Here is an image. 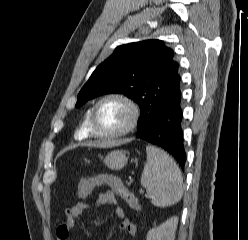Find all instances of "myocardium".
<instances>
[{"label":"myocardium","mask_w":248,"mask_h":240,"mask_svg":"<svg viewBox=\"0 0 248 240\" xmlns=\"http://www.w3.org/2000/svg\"><path fill=\"white\" fill-rule=\"evenodd\" d=\"M108 101H117L122 103L129 112V120L127 124L120 130L113 133H100L96 129L95 119L98 108L105 102ZM140 116V111L137 103L128 95L123 93H108L102 96L92 107L90 120H89V128L90 134L94 137L102 138V139H113L123 135H126L133 131L136 127Z\"/></svg>","instance_id":"obj_1"}]
</instances>
